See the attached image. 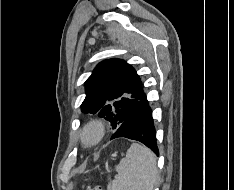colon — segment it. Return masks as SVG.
Listing matches in <instances>:
<instances>
[{"mask_svg":"<svg viewBox=\"0 0 234 190\" xmlns=\"http://www.w3.org/2000/svg\"><path fill=\"white\" fill-rule=\"evenodd\" d=\"M86 190H103L100 186H96V187H93V188H88Z\"/></svg>","mask_w":234,"mask_h":190,"instance_id":"obj_1","label":"colon"}]
</instances>
